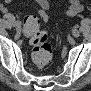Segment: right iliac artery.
Masks as SVG:
<instances>
[{
	"instance_id": "82829eb1",
	"label": "right iliac artery",
	"mask_w": 91,
	"mask_h": 91,
	"mask_svg": "<svg viewBox=\"0 0 91 91\" xmlns=\"http://www.w3.org/2000/svg\"><path fill=\"white\" fill-rule=\"evenodd\" d=\"M21 24V21H16L15 26H19Z\"/></svg>"
}]
</instances>
